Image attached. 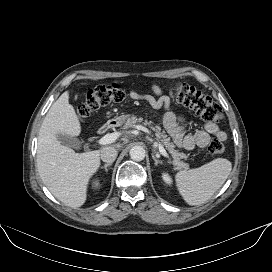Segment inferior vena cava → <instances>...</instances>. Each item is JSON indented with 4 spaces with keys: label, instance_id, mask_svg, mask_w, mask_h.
<instances>
[{
    "label": "inferior vena cava",
    "instance_id": "inferior-vena-cava-1",
    "mask_svg": "<svg viewBox=\"0 0 272 272\" xmlns=\"http://www.w3.org/2000/svg\"><path fill=\"white\" fill-rule=\"evenodd\" d=\"M101 160L106 163H112L117 157V150L114 147H104L100 152Z\"/></svg>",
    "mask_w": 272,
    "mask_h": 272
}]
</instances>
